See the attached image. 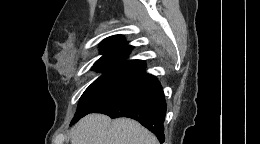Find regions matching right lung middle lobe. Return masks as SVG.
Masks as SVG:
<instances>
[{"label": "right lung middle lobe", "mask_w": 260, "mask_h": 144, "mask_svg": "<svg viewBox=\"0 0 260 144\" xmlns=\"http://www.w3.org/2000/svg\"><path fill=\"white\" fill-rule=\"evenodd\" d=\"M104 73L96 79L83 93L80 98L77 112L72 121H76L89 114L100 104L115 95L125 87L138 72L95 68Z\"/></svg>", "instance_id": "right-lung-middle-lobe-1"}]
</instances>
